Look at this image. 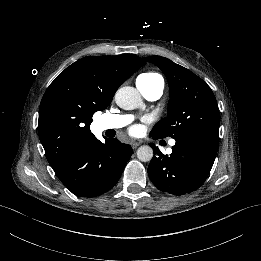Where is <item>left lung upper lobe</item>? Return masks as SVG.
Masks as SVG:
<instances>
[{"instance_id":"obj_1","label":"left lung upper lobe","mask_w":261,"mask_h":261,"mask_svg":"<svg viewBox=\"0 0 261 261\" xmlns=\"http://www.w3.org/2000/svg\"><path fill=\"white\" fill-rule=\"evenodd\" d=\"M166 75L170 88L168 116L161 119L150 135L179 140L202 133L219 139L220 113L211 88L190 70L161 56H149Z\"/></svg>"}]
</instances>
